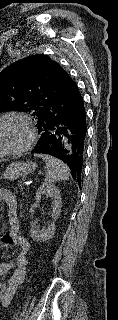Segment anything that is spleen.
<instances>
[{"mask_svg": "<svg viewBox=\"0 0 118 320\" xmlns=\"http://www.w3.org/2000/svg\"><path fill=\"white\" fill-rule=\"evenodd\" d=\"M42 158L47 164V183L63 181L67 178L69 169L64 163L50 156H43Z\"/></svg>", "mask_w": 118, "mask_h": 320, "instance_id": "3e777b00", "label": "spleen"}]
</instances>
